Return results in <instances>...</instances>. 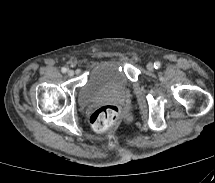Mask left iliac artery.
Wrapping results in <instances>:
<instances>
[{
	"instance_id": "left-iliac-artery-1",
	"label": "left iliac artery",
	"mask_w": 215,
	"mask_h": 183,
	"mask_svg": "<svg viewBox=\"0 0 215 183\" xmlns=\"http://www.w3.org/2000/svg\"><path fill=\"white\" fill-rule=\"evenodd\" d=\"M154 67L156 68V69H159L160 67H161V63L160 62H155L154 63Z\"/></svg>"
}]
</instances>
